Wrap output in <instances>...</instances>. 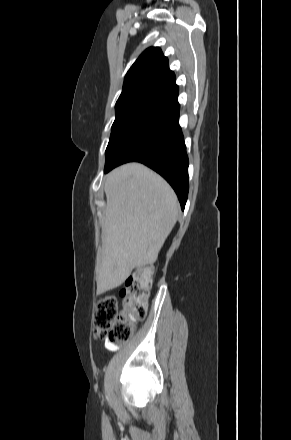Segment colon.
Wrapping results in <instances>:
<instances>
[{
  "mask_svg": "<svg viewBox=\"0 0 291 440\" xmlns=\"http://www.w3.org/2000/svg\"><path fill=\"white\" fill-rule=\"evenodd\" d=\"M151 286V268H143L122 286L118 296L122 302L119 311L118 299L106 296L97 303L93 318L94 336L112 343H125L133 335L138 323L146 316V300Z\"/></svg>",
  "mask_w": 291,
  "mask_h": 440,
  "instance_id": "5ec220e1",
  "label": "colon"
}]
</instances>
